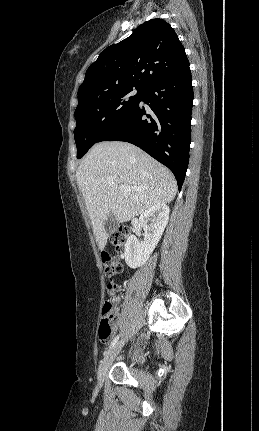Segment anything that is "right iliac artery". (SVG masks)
Wrapping results in <instances>:
<instances>
[{"label": "right iliac artery", "mask_w": 259, "mask_h": 431, "mask_svg": "<svg viewBox=\"0 0 259 431\" xmlns=\"http://www.w3.org/2000/svg\"><path fill=\"white\" fill-rule=\"evenodd\" d=\"M118 339H119V335H117V336L112 340V342H111V344H110V346H109V349H108L107 351H105L104 355H105V354H107V352H108L110 349H112V348L116 345V343L118 342Z\"/></svg>", "instance_id": "right-iliac-artery-1"}]
</instances>
